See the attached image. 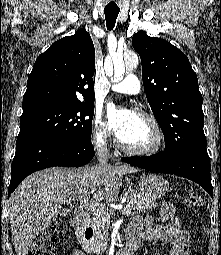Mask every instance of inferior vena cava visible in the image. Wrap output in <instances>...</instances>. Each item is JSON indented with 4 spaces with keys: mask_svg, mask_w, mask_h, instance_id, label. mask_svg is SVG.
<instances>
[{
    "mask_svg": "<svg viewBox=\"0 0 221 255\" xmlns=\"http://www.w3.org/2000/svg\"><path fill=\"white\" fill-rule=\"evenodd\" d=\"M96 155H97V159L99 161V166L107 167L108 166L109 153H108L107 146H105V141L104 140H102L100 142V144L98 145Z\"/></svg>",
    "mask_w": 221,
    "mask_h": 255,
    "instance_id": "obj_1",
    "label": "inferior vena cava"
}]
</instances>
